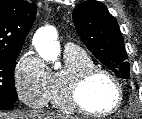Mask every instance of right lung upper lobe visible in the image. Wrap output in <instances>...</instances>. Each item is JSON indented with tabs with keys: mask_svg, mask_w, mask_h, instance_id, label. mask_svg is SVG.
I'll use <instances>...</instances> for the list:
<instances>
[{
	"mask_svg": "<svg viewBox=\"0 0 142 119\" xmlns=\"http://www.w3.org/2000/svg\"><path fill=\"white\" fill-rule=\"evenodd\" d=\"M36 17V6L24 0H0V55L20 52Z\"/></svg>",
	"mask_w": 142,
	"mask_h": 119,
	"instance_id": "obj_1",
	"label": "right lung upper lobe"
}]
</instances>
